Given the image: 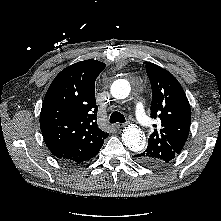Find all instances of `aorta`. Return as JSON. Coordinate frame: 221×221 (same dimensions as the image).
<instances>
[{"label": "aorta", "mask_w": 221, "mask_h": 221, "mask_svg": "<svg viewBox=\"0 0 221 221\" xmlns=\"http://www.w3.org/2000/svg\"><path fill=\"white\" fill-rule=\"evenodd\" d=\"M130 84L127 80L119 79L113 82L111 94L117 99H125L130 93ZM122 142L132 151H140L145 146L142 131L135 125H128L122 133Z\"/></svg>", "instance_id": "762f6f07"}]
</instances>
